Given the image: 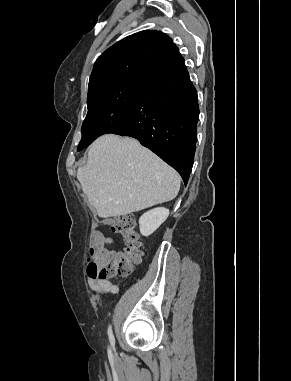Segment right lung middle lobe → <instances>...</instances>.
I'll return each mask as SVG.
<instances>
[{
    "label": "right lung middle lobe",
    "instance_id": "right-lung-middle-lobe-1",
    "mask_svg": "<svg viewBox=\"0 0 291 381\" xmlns=\"http://www.w3.org/2000/svg\"><path fill=\"white\" fill-rule=\"evenodd\" d=\"M143 79H131L101 89L87 98L88 113L82 124L81 151L96 138L124 126Z\"/></svg>",
    "mask_w": 291,
    "mask_h": 381
}]
</instances>
